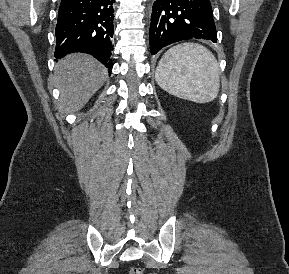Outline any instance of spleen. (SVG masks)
<instances>
[{
    "label": "spleen",
    "mask_w": 289,
    "mask_h": 274,
    "mask_svg": "<svg viewBox=\"0 0 289 274\" xmlns=\"http://www.w3.org/2000/svg\"><path fill=\"white\" fill-rule=\"evenodd\" d=\"M155 79L162 89L176 97L207 103L219 92V64L204 46L179 44L163 55Z\"/></svg>",
    "instance_id": "spleen-1"
}]
</instances>
